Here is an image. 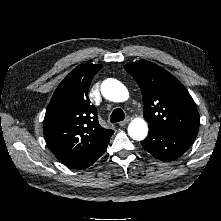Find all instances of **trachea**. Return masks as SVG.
Masks as SVG:
<instances>
[{
	"instance_id": "obj_1",
	"label": "trachea",
	"mask_w": 221,
	"mask_h": 221,
	"mask_svg": "<svg viewBox=\"0 0 221 221\" xmlns=\"http://www.w3.org/2000/svg\"><path fill=\"white\" fill-rule=\"evenodd\" d=\"M124 118H125V113L120 108L114 109L112 114L110 115V121L112 123L123 121Z\"/></svg>"
}]
</instances>
